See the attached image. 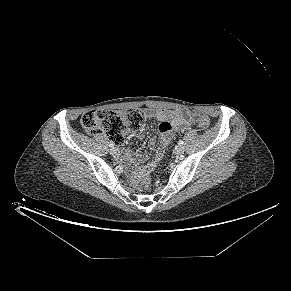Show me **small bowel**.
<instances>
[{
    "instance_id": "small-bowel-1",
    "label": "small bowel",
    "mask_w": 291,
    "mask_h": 291,
    "mask_svg": "<svg viewBox=\"0 0 291 291\" xmlns=\"http://www.w3.org/2000/svg\"><path fill=\"white\" fill-rule=\"evenodd\" d=\"M146 115L147 117L155 118L160 122L158 126L160 140L158 141L156 138H153L150 141L151 147L153 149H156V151L152 159L147 163L143 170L147 167H151L152 169H154V167L163 157L164 151L171 141L173 131L187 127L192 121L181 112L173 110H149L147 111ZM143 135L144 134L142 130H139L136 133L138 139H142ZM130 157L136 162H143L146 160L145 156H138L134 158L132 155H130Z\"/></svg>"
}]
</instances>
